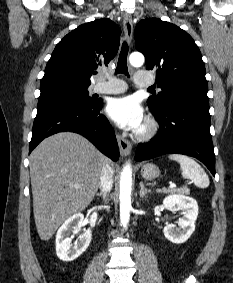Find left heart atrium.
<instances>
[{
	"instance_id": "left-heart-atrium-1",
	"label": "left heart atrium",
	"mask_w": 233,
	"mask_h": 283,
	"mask_svg": "<svg viewBox=\"0 0 233 283\" xmlns=\"http://www.w3.org/2000/svg\"><path fill=\"white\" fill-rule=\"evenodd\" d=\"M106 113L119 127L130 130H139L144 120L143 109L134 96L111 99Z\"/></svg>"
}]
</instances>
